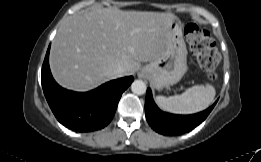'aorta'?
Wrapping results in <instances>:
<instances>
[{
  "label": "aorta",
  "instance_id": "1",
  "mask_svg": "<svg viewBox=\"0 0 261 162\" xmlns=\"http://www.w3.org/2000/svg\"><path fill=\"white\" fill-rule=\"evenodd\" d=\"M146 84L142 80H135L131 84V90L134 94L142 95L146 92Z\"/></svg>",
  "mask_w": 261,
  "mask_h": 162
}]
</instances>
